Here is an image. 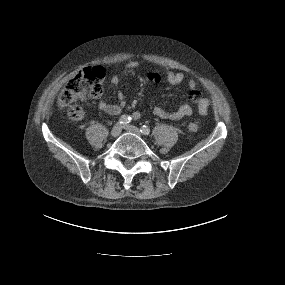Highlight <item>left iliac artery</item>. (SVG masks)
Wrapping results in <instances>:
<instances>
[{"instance_id": "obj_1", "label": "left iliac artery", "mask_w": 285, "mask_h": 285, "mask_svg": "<svg viewBox=\"0 0 285 285\" xmlns=\"http://www.w3.org/2000/svg\"><path fill=\"white\" fill-rule=\"evenodd\" d=\"M141 133L144 135H148L150 133V128L146 125H143L140 129Z\"/></svg>"}]
</instances>
